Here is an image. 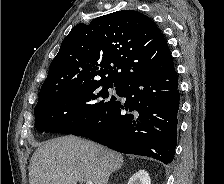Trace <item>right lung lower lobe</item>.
<instances>
[{
  "label": "right lung lower lobe",
  "mask_w": 224,
  "mask_h": 184,
  "mask_svg": "<svg viewBox=\"0 0 224 184\" xmlns=\"http://www.w3.org/2000/svg\"><path fill=\"white\" fill-rule=\"evenodd\" d=\"M121 87L119 97H125V102L116 100L100 117L71 134L90 138L121 153L171 163L180 100L174 67L129 80Z\"/></svg>",
  "instance_id": "obj_1"
}]
</instances>
